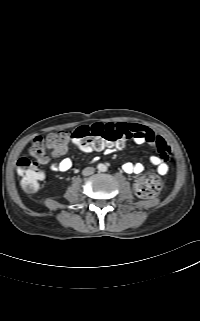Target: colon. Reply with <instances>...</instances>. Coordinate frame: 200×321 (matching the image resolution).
Here are the masks:
<instances>
[{
    "label": "colon",
    "mask_w": 200,
    "mask_h": 321,
    "mask_svg": "<svg viewBox=\"0 0 200 321\" xmlns=\"http://www.w3.org/2000/svg\"><path fill=\"white\" fill-rule=\"evenodd\" d=\"M131 134L125 127L94 124L83 125L70 132H56L45 137H36L30 148L31 158L22 157L17 161V173L21 177L22 187L29 193L35 192L39 182L44 178L40 165L49 159L50 155L60 152L69 140L81 149L101 150L107 145L123 148ZM163 190V182L155 175L141 176L134 182L135 193L144 199L154 198Z\"/></svg>",
    "instance_id": "obj_1"
}]
</instances>
